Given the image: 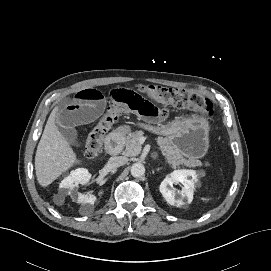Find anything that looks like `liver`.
<instances>
[{
    "label": "liver",
    "instance_id": "liver-1",
    "mask_svg": "<svg viewBox=\"0 0 271 271\" xmlns=\"http://www.w3.org/2000/svg\"><path fill=\"white\" fill-rule=\"evenodd\" d=\"M58 111V106L52 110L35 155L36 176L42 187L50 185L63 172L81 162L56 125Z\"/></svg>",
    "mask_w": 271,
    "mask_h": 271
}]
</instances>
